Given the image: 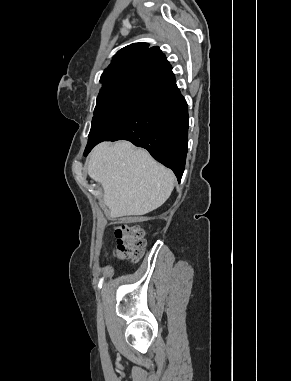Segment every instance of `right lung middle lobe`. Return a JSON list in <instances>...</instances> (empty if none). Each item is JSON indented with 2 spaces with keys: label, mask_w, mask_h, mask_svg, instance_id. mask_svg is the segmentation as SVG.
Listing matches in <instances>:
<instances>
[{
  "label": "right lung middle lobe",
  "mask_w": 291,
  "mask_h": 381,
  "mask_svg": "<svg viewBox=\"0 0 291 381\" xmlns=\"http://www.w3.org/2000/svg\"><path fill=\"white\" fill-rule=\"evenodd\" d=\"M141 80L142 77L128 78L100 91L87 147L104 140H115L119 136L121 123Z\"/></svg>",
  "instance_id": "1"
}]
</instances>
